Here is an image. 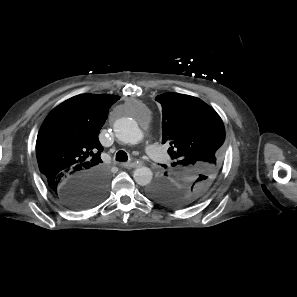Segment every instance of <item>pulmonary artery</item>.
I'll return each mask as SVG.
<instances>
[{
  "instance_id": "pulmonary-artery-1",
  "label": "pulmonary artery",
  "mask_w": 297,
  "mask_h": 297,
  "mask_svg": "<svg viewBox=\"0 0 297 297\" xmlns=\"http://www.w3.org/2000/svg\"><path fill=\"white\" fill-rule=\"evenodd\" d=\"M144 150L155 161H158V162L164 161V154L161 147L154 144L146 143L144 145Z\"/></svg>"
}]
</instances>
